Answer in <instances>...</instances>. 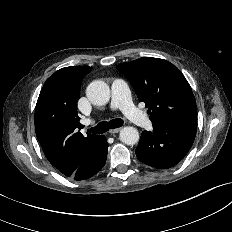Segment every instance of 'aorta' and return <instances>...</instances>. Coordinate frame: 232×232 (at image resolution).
Masks as SVG:
<instances>
[{"mask_svg":"<svg viewBox=\"0 0 232 232\" xmlns=\"http://www.w3.org/2000/svg\"><path fill=\"white\" fill-rule=\"evenodd\" d=\"M86 95L92 104L102 106L110 100V88L104 81L95 80L88 85ZM119 138L126 145H135L139 133L136 128L127 126L120 131Z\"/></svg>","mask_w":232,"mask_h":232,"instance_id":"762f6f07","label":"aorta"}]
</instances>
